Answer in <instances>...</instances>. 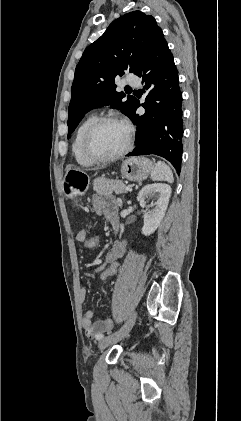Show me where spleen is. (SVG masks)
<instances>
[{"label": "spleen", "mask_w": 241, "mask_h": 421, "mask_svg": "<svg viewBox=\"0 0 241 421\" xmlns=\"http://www.w3.org/2000/svg\"><path fill=\"white\" fill-rule=\"evenodd\" d=\"M151 179L153 181H166L173 183L174 177L170 167L163 161H158L151 172Z\"/></svg>", "instance_id": "3e777b00"}]
</instances>
